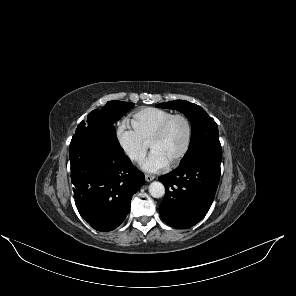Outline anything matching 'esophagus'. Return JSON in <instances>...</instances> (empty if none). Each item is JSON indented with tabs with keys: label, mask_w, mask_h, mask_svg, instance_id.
Instances as JSON below:
<instances>
[{
	"label": "esophagus",
	"mask_w": 296,
	"mask_h": 296,
	"mask_svg": "<svg viewBox=\"0 0 296 296\" xmlns=\"http://www.w3.org/2000/svg\"><path fill=\"white\" fill-rule=\"evenodd\" d=\"M155 179V176H153V175H149V174H146L145 175V180L147 181V182H150V181H152V180H154Z\"/></svg>",
	"instance_id": "1"
}]
</instances>
